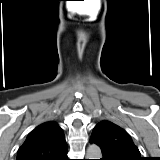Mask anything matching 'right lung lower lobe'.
Masks as SVG:
<instances>
[{
    "label": "right lung lower lobe",
    "mask_w": 160,
    "mask_h": 160,
    "mask_svg": "<svg viewBox=\"0 0 160 160\" xmlns=\"http://www.w3.org/2000/svg\"><path fill=\"white\" fill-rule=\"evenodd\" d=\"M61 160H69L67 157V153L64 155V157Z\"/></svg>",
    "instance_id": "obj_1"
}]
</instances>
